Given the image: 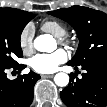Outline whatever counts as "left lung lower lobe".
<instances>
[{"label":"left lung lower lobe","instance_id":"1","mask_svg":"<svg viewBox=\"0 0 107 107\" xmlns=\"http://www.w3.org/2000/svg\"><path fill=\"white\" fill-rule=\"evenodd\" d=\"M80 67L85 70L82 79L73 75L69 86L60 92L62 101L67 107H106L107 59H97Z\"/></svg>","mask_w":107,"mask_h":107}]
</instances>
